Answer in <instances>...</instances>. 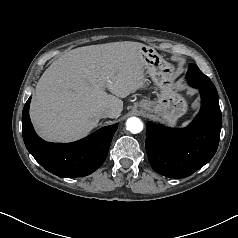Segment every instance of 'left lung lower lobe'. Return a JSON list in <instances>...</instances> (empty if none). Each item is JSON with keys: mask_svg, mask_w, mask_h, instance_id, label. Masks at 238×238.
Returning a JSON list of instances; mask_svg holds the SVG:
<instances>
[{"mask_svg": "<svg viewBox=\"0 0 238 238\" xmlns=\"http://www.w3.org/2000/svg\"><path fill=\"white\" fill-rule=\"evenodd\" d=\"M191 86L201 94V109L193 122L183 129H172L148 122L146 151L152 168L170 178L193 174L214 156L222 126L217 91L206 88L199 78L188 74Z\"/></svg>", "mask_w": 238, "mask_h": 238, "instance_id": "obj_1", "label": "left lung lower lobe"}]
</instances>
